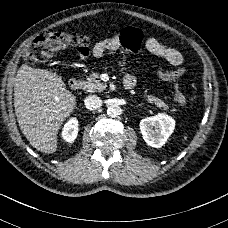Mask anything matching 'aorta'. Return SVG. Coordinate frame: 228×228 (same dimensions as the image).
I'll list each match as a JSON object with an SVG mask.
<instances>
[{
	"label": "aorta",
	"instance_id": "762f6f07",
	"mask_svg": "<svg viewBox=\"0 0 228 228\" xmlns=\"http://www.w3.org/2000/svg\"><path fill=\"white\" fill-rule=\"evenodd\" d=\"M121 114H122V109L116 104L109 106L107 109V115L109 117L116 118Z\"/></svg>",
	"mask_w": 228,
	"mask_h": 228
}]
</instances>
